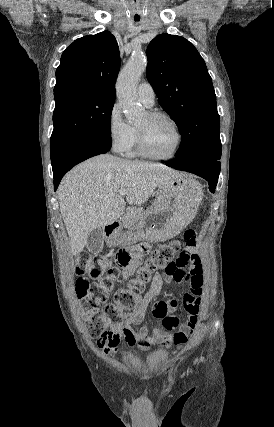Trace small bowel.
I'll list each match as a JSON object with an SVG mask.
<instances>
[{"instance_id": "obj_1", "label": "small bowel", "mask_w": 274, "mask_h": 427, "mask_svg": "<svg viewBox=\"0 0 274 427\" xmlns=\"http://www.w3.org/2000/svg\"><path fill=\"white\" fill-rule=\"evenodd\" d=\"M199 246L191 244L177 257L179 264H171L169 269L164 271V276L155 274L152 278L148 292L137 295L135 305L130 310H121V317L118 321H107L104 332L98 338L99 347L106 353L112 354L123 337L130 347L138 346L142 350H149L159 345L167 347L171 344L183 345L189 335L194 331L198 320L201 298L203 293V268L200 261ZM149 246L142 244L133 259L121 269L120 276L116 284L122 288L132 273L142 264L143 256L148 252ZM167 278L189 286L187 292L181 297V305L187 313L188 319L175 318V312L170 311V307L177 305L178 295L172 294L171 300L167 302L160 299L157 302L156 311L151 314L155 327H181L172 335L165 333L162 329L156 328L153 334H149V325L144 322L146 311L150 304L156 300L161 293V287ZM178 317L181 315L178 314Z\"/></svg>"}]
</instances>
